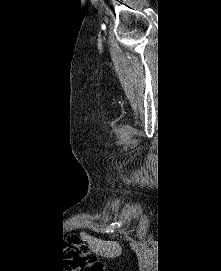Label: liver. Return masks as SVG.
<instances>
[{
	"label": "liver",
	"instance_id": "liver-1",
	"mask_svg": "<svg viewBox=\"0 0 221 271\" xmlns=\"http://www.w3.org/2000/svg\"><path fill=\"white\" fill-rule=\"evenodd\" d=\"M88 245L92 251L104 257H118L122 253V247L117 241H104V239H97V237H90L86 235Z\"/></svg>",
	"mask_w": 221,
	"mask_h": 271
}]
</instances>
